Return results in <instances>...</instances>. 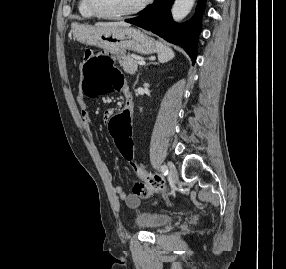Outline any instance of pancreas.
Returning <instances> with one entry per match:
<instances>
[{"mask_svg": "<svg viewBox=\"0 0 286 269\" xmlns=\"http://www.w3.org/2000/svg\"><path fill=\"white\" fill-rule=\"evenodd\" d=\"M120 66L123 67L124 71L128 74H135L138 69V62L133 59L130 55L125 56L119 61Z\"/></svg>", "mask_w": 286, "mask_h": 269, "instance_id": "cf45deb5", "label": "pancreas"}]
</instances>
